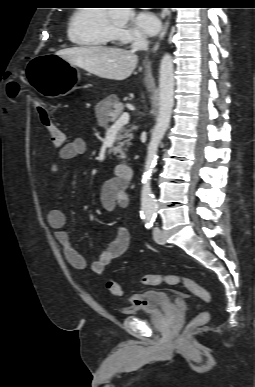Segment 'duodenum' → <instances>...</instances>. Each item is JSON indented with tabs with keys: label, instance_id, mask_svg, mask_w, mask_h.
I'll use <instances>...</instances> for the list:
<instances>
[{
	"label": "duodenum",
	"instance_id": "duodenum-1",
	"mask_svg": "<svg viewBox=\"0 0 255 387\" xmlns=\"http://www.w3.org/2000/svg\"><path fill=\"white\" fill-rule=\"evenodd\" d=\"M116 175L124 182L131 180L134 174V167L132 162L124 161L116 165L115 167Z\"/></svg>",
	"mask_w": 255,
	"mask_h": 387
}]
</instances>
